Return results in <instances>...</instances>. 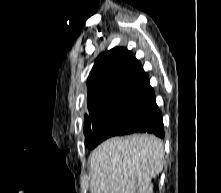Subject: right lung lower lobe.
Instances as JSON below:
<instances>
[{"label": "right lung lower lobe", "mask_w": 221, "mask_h": 193, "mask_svg": "<svg viewBox=\"0 0 221 193\" xmlns=\"http://www.w3.org/2000/svg\"><path fill=\"white\" fill-rule=\"evenodd\" d=\"M152 104V111L138 124L130 128L129 130L125 131L121 135H127L132 133H151L160 138L164 137V126L162 121V114L160 113L155 98L151 101Z\"/></svg>", "instance_id": "right-lung-lower-lobe-1"}]
</instances>
